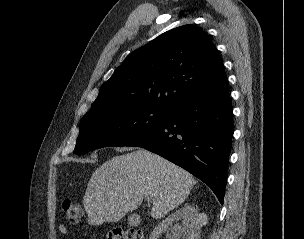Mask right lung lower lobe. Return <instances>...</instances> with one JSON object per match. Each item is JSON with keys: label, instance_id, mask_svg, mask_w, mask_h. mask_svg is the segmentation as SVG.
I'll use <instances>...</instances> for the list:
<instances>
[{"label": "right lung lower lobe", "instance_id": "obj_1", "mask_svg": "<svg viewBox=\"0 0 304 239\" xmlns=\"http://www.w3.org/2000/svg\"><path fill=\"white\" fill-rule=\"evenodd\" d=\"M234 132L225 77L215 86L172 106L157 128L126 146L154 152L206 183L221 204Z\"/></svg>", "mask_w": 304, "mask_h": 239}]
</instances>
